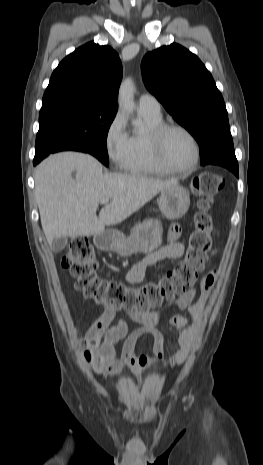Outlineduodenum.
Wrapping results in <instances>:
<instances>
[{
  "instance_id": "obj_1",
  "label": "duodenum",
  "mask_w": 263,
  "mask_h": 465,
  "mask_svg": "<svg viewBox=\"0 0 263 465\" xmlns=\"http://www.w3.org/2000/svg\"><path fill=\"white\" fill-rule=\"evenodd\" d=\"M108 243V239L105 237H99L96 242L97 246L102 249L107 247Z\"/></svg>"
}]
</instances>
